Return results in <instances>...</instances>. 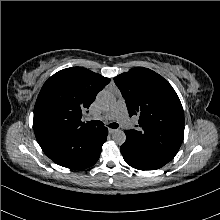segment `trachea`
Returning <instances> with one entry per match:
<instances>
[{
	"mask_svg": "<svg viewBox=\"0 0 220 220\" xmlns=\"http://www.w3.org/2000/svg\"><path fill=\"white\" fill-rule=\"evenodd\" d=\"M87 124L93 125V126H102L103 125V123L98 120L89 121V122H87ZM108 126L112 129H117L119 127V125L117 123H110Z\"/></svg>",
	"mask_w": 220,
	"mask_h": 220,
	"instance_id": "trachea-1",
	"label": "trachea"
}]
</instances>
